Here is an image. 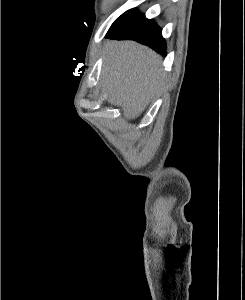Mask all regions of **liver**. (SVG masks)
I'll return each mask as SVG.
<instances>
[{"instance_id":"obj_1","label":"liver","mask_w":245,"mask_h":300,"mask_svg":"<svg viewBox=\"0 0 245 300\" xmlns=\"http://www.w3.org/2000/svg\"><path fill=\"white\" fill-rule=\"evenodd\" d=\"M161 57L134 41L113 42L107 49L103 77L109 102L122 107L126 119L137 118L157 91Z\"/></svg>"}]
</instances>
